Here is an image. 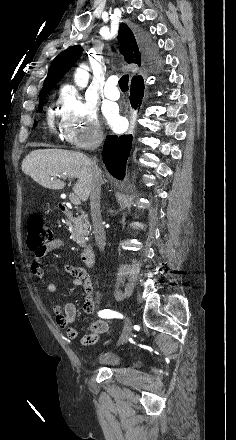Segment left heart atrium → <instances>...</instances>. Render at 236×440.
Wrapping results in <instances>:
<instances>
[{
    "instance_id": "39dd6f15",
    "label": "left heart atrium",
    "mask_w": 236,
    "mask_h": 440,
    "mask_svg": "<svg viewBox=\"0 0 236 440\" xmlns=\"http://www.w3.org/2000/svg\"><path fill=\"white\" fill-rule=\"evenodd\" d=\"M106 119L108 124L112 127V128H119L121 125V121L120 118L117 114V112L115 110L109 112L106 115Z\"/></svg>"
}]
</instances>
